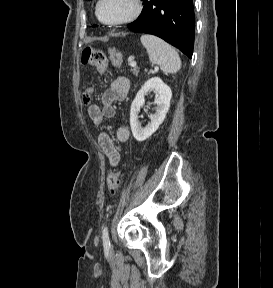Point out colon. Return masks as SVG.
Masks as SVG:
<instances>
[{"mask_svg":"<svg viewBox=\"0 0 273 288\" xmlns=\"http://www.w3.org/2000/svg\"><path fill=\"white\" fill-rule=\"evenodd\" d=\"M110 61L114 66H120L122 63L121 53L114 47L109 48ZM81 62L95 67L98 73H103L107 66V57L105 53L96 48L87 47L82 51ZM84 100L89 102V94H84ZM121 186V175L119 171H112L107 176V190L110 194H115Z\"/></svg>","mask_w":273,"mask_h":288,"instance_id":"colon-1","label":"colon"}]
</instances>
